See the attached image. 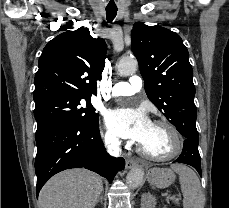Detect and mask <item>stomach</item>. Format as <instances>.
<instances>
[{"mask_svg":"<svg viewBox=\"0 0 229 208\" xmlns=\"http://www.w3.org/2000/svg\"><path fill=\"white\" fill-rule=\"evenodd\" d=\"M146 178L151 186L168 188L175 180V174L169 168H151L147 170Z\"/></svg>","mask_w":229,"mask_h":208,"instance_id":"0dacf381","label":"stomach"}]
</instances>
